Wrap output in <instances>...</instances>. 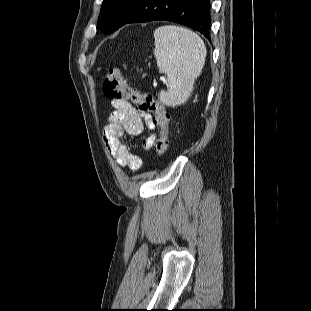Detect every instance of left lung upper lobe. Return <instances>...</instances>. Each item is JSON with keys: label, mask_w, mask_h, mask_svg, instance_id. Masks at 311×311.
I'll use <instances>...</instances> for the list:
<instances>
[{"label": "left lung upper lobe", "mask_w": 311, "mask_h": 311, "mask_svg": "<svg viewBox=\"0 0 311 311\" xmlns=\"http://www.w3.org/2000/svg\"><path fill=\"white\" fill-rule=\"evenodd\" d=\"M131 0H104L97 24V29L112 33L118 19Z\"/></svg>", "instance_id": "1"}]
</instances>
